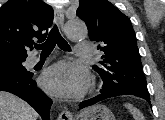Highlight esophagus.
I'll list each match as a JSON object with an SVG mask.
<instances>
[{"label":"esophagus","instance_id":"obj_1","mask_svg":"<svg viewBox=\"0 0 165 120\" xmlns=\"http://www.w3.org/2000/svg\"><path fill=\"white\" fill-rule=\"evenodd\" d=\"M54 14L58 25L63 28L64 11L62 9H55ZM58 120H73V115L70 111H62L58 116Z\"/></svg>","mask_w":165,"mask_h":120}]
</instances>
